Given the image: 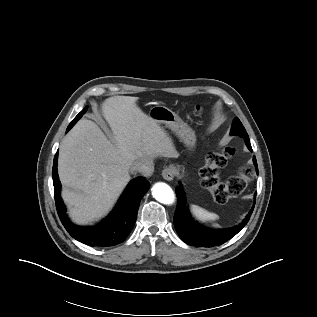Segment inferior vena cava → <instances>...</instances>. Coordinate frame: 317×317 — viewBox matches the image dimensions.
Returning a JSON list of instances; mask_svg holds the SVG:
<instances>
[{
	"label": "inferior vena cava",
	"instance_id": "obj_1",
	"mask_svg": "<svg viewBox=\"0 0 317 317\" xmlns=\"http://www.w3.org/2000/svg\"><path fill=\"white\" fill-rule=\"evenodd\" d=\"M132 171L141 173L143 176H151L154 171L153 162L150 160L137 161L131 168Z\"/></svg>",
	"mask_w": 317,
	"mask_h": 317
}]
</instances>
